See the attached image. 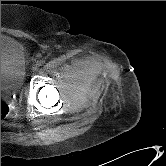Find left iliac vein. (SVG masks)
<instances>
[{"mask_svg":"<svg viewBox=\"0 0 166 166\" xmlns=\"http://www.w3.org/2000/svg\"><path fill=\"white\" fill-rule=\"evenodd\" d=\"M32 70H33V71H37V70H38V65L35 64V65L32 67Z\"/></svg>","mask_w":166,"mask_h":166,"instance_id":"obj_1","label":"left iliac vein"}]
</instances>
